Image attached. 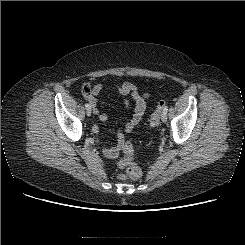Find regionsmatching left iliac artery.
I'll return each mask as SVG.
<instances>
[{
  "label": "left iliac artery",
  "instance_id": "1",
  "mask_svg": "<svg viewBox=\"0 0 245 245\" xmlns=\"http://www.w3.org/2000/svg\"><path fill=\"white\" fill-rule=\"evenodd\" d=\"M163 112H164V113H167V112H168V106H165Z\"/></svg>",
  "mask_w": 245,
  "mask_h": 245
}]
</instances>
